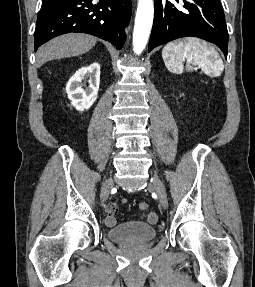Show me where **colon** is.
<instances>
[{
    "mask_svg": "<svg viewBox=\"0 0 255 287\" xmlns=\"http://www.w3.org/2000/svg\"><path fill=\"white\" fill-rule=\"evenodd\" d=\"M139 208H140V210L146 211V212H148L150 209L149 204L146 202L139 203Z\"/></svg>",
    "mask_w": 255,
    "mask_h": 287,
    "instance_id": "obj_1",
    "label": "colon"
}]
</instances>
